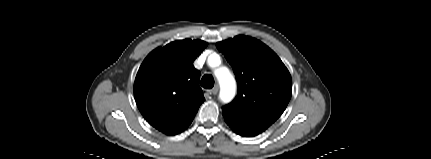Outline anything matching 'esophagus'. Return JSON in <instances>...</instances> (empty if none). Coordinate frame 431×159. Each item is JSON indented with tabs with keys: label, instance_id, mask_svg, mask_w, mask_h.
Wrapping results in <instances>:
<instances>
[{
	"label": "esophagus",
	"instance_id": "obj_1",
	"mask_svg": "<svg viewBox=\"0 0 431 159\" xmlns=\"http://www.w3.org/2000/svg\"><path fill=\"white\" fill-rule=\"evenodd\" d=\"M218 91H219V86L218 85H215L210 91H209V94L210 95H216L217 93H218Z\"/></svg>",
	"mask_w": 431,
	"mask_h": 159
}]
</instances>
